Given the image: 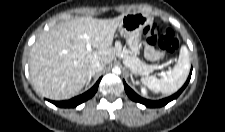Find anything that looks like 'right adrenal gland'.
Listing matches in <instances>:
<instances>
[{
	"label": "right adrenal gland",
	"instance_id": "2a0ac1e0",
	"mask_svg": "<svg viewBox=\"0 0 225 132\" xmlns=\"http://www.w3.org/2000/svg\"><path fill=\"white\" fill-rule=\"evenodd\" d=\"M92 76H93V74L89 75V78L87 80L86 86H88L90 84Z\"/></svg>",
	"mask_w": 225,
	"mask_h": 132
}]
</instances>
